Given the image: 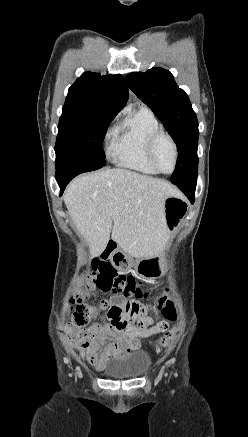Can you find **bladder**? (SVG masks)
<instances>
[{
	"label": "bladder",
	"instance_id": "1",
	"mask_svg": "<svg viewBox=\"0 0 248 437\" xmlns=\"http://www.w3.org/2000/svg\"><path fill=\"white\" fill-rule=\"evenodd\" d=\"M150 362V356L145 352H137L132 357L122 360L107 370L108 376L115 379H132L141 375Z\"/></svg>",
	"mask_w": 248,
	"mask_h": 437
}]
</instances>
